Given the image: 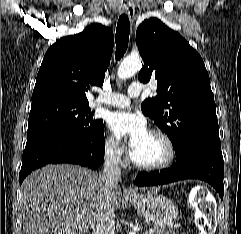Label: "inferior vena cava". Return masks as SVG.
Here are the masks:
<instances>
[{
	"label": "inferior vena cava",
	"instance_id": "obj_1",
	"mask_svg": "<svg viewBox=\"0 0 241 234\" xmlns=\"http://www.w3.org/2000/svg\"><path fill=\"white\" fill-rule=\"evenodd\" d=\"M101 178L106 184L107 202L104 209L94 219L92 234H115V211L111 208L109 201L111 191L117 187L121 180V169L116 155L115 143L106 147Z\"/></svg>",
	"mask_w": 241,
	"mask_h": 234
}]
</instances>
